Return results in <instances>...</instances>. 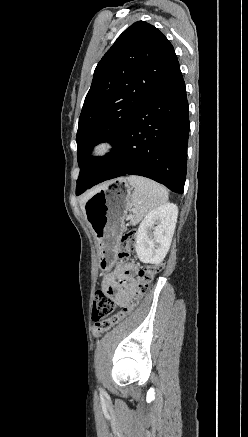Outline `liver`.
<instances>
[{"mask_svg": "<svg viewBox=\"0 0 248 437\" xmlns=\"http://www.w3.org/2000/svg\"><path fill=\"white\" fill-rule=\"evenodd\" d=\"M92 194V193H91ZM91 194H87L86 196H84L81 200H80V205H81V209L84 211V203L85 201L89 198V196Z\"/></svg>", "mask_w": 248, "mask_h": 437, "instance_id": "6515ba94", "label": "liver"}]
</instances>
